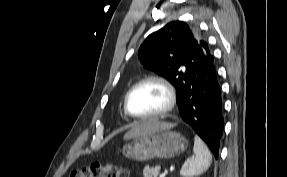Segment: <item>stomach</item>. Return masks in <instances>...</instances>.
<instances>
[{
	"instance_id": "stomach-1",
	"label": "stomach",
	"mask_w": 287,
	"mask_h": 177,
	"mask_svg": "<svg viewBox=\"0 0 287 177\" xmlns=\"http://www.w3.org/2000/svg\"><path fill=\"white\" fill-rule=\"evenodd\" d=\"M188 140L178 132L169 129L154 131L131 138L122 148L126 158L147 161L155 158H173L186 150Z\"/></svg>"
}]
</instances>
